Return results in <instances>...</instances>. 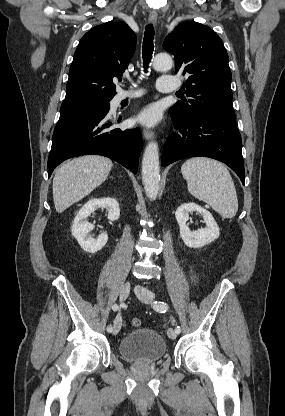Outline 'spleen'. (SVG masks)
Here are the masks:
<instances>
[{"instance_id": "spleen-1", "label": "spleen", "mask_w": 285, "mask_h": 416, "mask_svg": "<svg viewBox=\"0 0 285 416\" xmlns=\"http://www.w3.org/2000/svg\"><path fill=\"white\" fill-rule=\"evenodd\" d=\"M191 196L206 202L222 218H234L238 200L234 182L224 164L210 158H191L181 168Z\"/></svg>"}]
</instances>
